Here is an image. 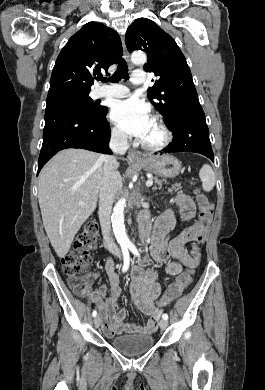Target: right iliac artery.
<instances>
[{"label": "right iliac artery", "mask_w": 265, "mask_h": 390, "mask_svg": "<svg viewBox=\"0 0 265 390\" xmlns=\"http://www.w3.org/2000/svg\"><path fill=\"white\" fill-rule=\"evenodd\" d=\"M123 257H124V264L122 271L126 272L130 265V254L127 247H122ZM97 315V311L93 310L92 316L95 317Z\"/></svg>", "instance_id": "right-iliac-artery-1"}]
</instances>
